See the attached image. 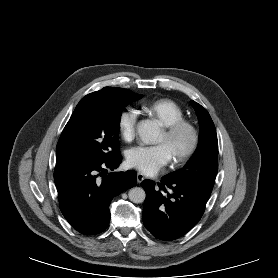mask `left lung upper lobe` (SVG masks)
<instances>
[{
	"instance_id": "obj_1",
	"label": "left lung upper lobe",
	"mask_w": 278,
	"mask_h": 278,
	"mask_svg": "<svg viewBox=\"0 0 278 278\" xmlns=\"http://www.w3.org/2000/svg\"><path fill=\"white\" fill-rule=\"evenodd\" d=\"M191 104L197 112L200 124L199 145L187 164L168 174L179 182L195 183L213 189L218 172V140L214 123L205 108L195 101Z\"/></svg>"
}]
</instances>
